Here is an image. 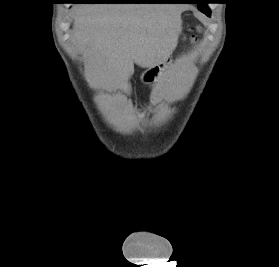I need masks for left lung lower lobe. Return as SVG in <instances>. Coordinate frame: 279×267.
Returning <instances> with one entry per match:
<instances>
[{
    "label": "left lung lower lobe",
    "mask_w": 279,
    "mask_h": 267,
    "mask_svg": "<svg viewBox=\"0 0 279 267\" xmlns=\"http://www.w3.org/2000/svg\"><path fill=\"white\" fill-rule=\"evenodd\" d=\"M181 3H197L198 9L205 15L210 16V9L206 5L209 2H207L206 0H185Z\"/></svg>",
    "instance_id": "obj_1"
}]
</instances>
